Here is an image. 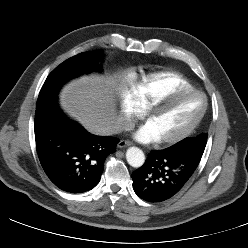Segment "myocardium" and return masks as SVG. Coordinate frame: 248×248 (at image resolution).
Segmentation results:
<instances>
[{"mask_svg":"<svg viewBox=\"0 0 248 248\" xmlns=\"http://www.w3.org/2000/svg\"><path fill=\"white\" fill-rule=\"evenodd\" d=\"M195 94L202 96L204 101V105L201 113L197 116V118L193 122H191L185 129H183L179 133L172 136L160 138L159 142L161 144L178 143L184 140L185 138H187L191 133H193V131L199 126V124L201 123L207 112L208 109L207 96L205 95V93L197 89L177 90L158 98L147 108L146 121L148 122L157 112L163 110L169 103L173 102L174 100L184 96L195 95Z\"/></svg>","mask_w":248,"mask_h":248,"instance_id":"1","label":"myocardium"}]
</instances>
